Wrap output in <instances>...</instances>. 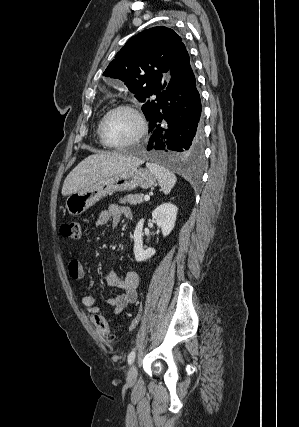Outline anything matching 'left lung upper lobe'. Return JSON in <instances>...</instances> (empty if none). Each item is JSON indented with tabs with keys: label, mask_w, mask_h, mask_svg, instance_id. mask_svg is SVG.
<instances>
[{
	"label": "left lung upper lobe",
	"mask_w": 299,
	"mask_h": 427,
	"mask_svg": "<svg viewBox=\"0 0 299 427\" xmlns=\"http://www.w3.org/2000/svg\"><path fill=\"white\" fill-rule=\"evenodd\" d=\"M181 42V37L165 26L144 30L127 41L103 73L122 80L144 102L142 111L147 120L156 100L152 98H157L169 81V70Z\"/></svg>",
	"instance_id": "1"
}]
</instances>
